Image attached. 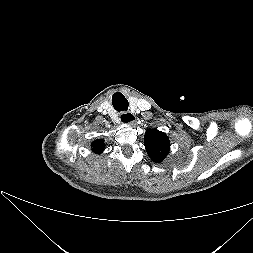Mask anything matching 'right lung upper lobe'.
<instances>
[{
    "instance_id": "right-lung-upper-lobe-1",
    "label": "right lung upper lobe",
    "mask_w": 253,
    "mask_h": 253,
    "mask_svg": "<svg viewBox=\"0 0 253 253\" xmlns=\"http://www.w3.org/2000/svg\"><path fill=\"white\" fill-rule=\"evenodd\" d=\"M104 142L102 139H98L92 143V151L94 153H102L104 151Z\"/></svg>"
}]
</instances>
